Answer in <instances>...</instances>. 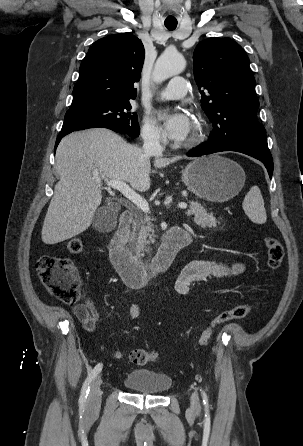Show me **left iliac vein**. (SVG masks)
<instances>
[{
	"label": "left iliac vein",
	"mask_w": 303,
	"mask_h": 446,
	"mask_svg": "<svg viewBox=\"0 0 303 446\" xmlns=\"http://www.w3.org/2000/svg\"><path fill=\"white\" fill-rule=\"evenodd\" d=\"M191 406H192V409H193L194 411H198V410H199V399H198V395H197L196 392H194V393L192 394V397H191Z\"/></svg>",
	"instance_id": "1"
}]
</instances>
